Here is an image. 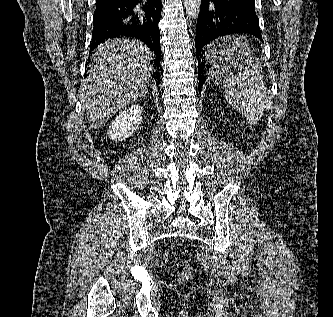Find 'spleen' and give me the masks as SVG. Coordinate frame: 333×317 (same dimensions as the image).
<instances>
[{
  "instance_id": "obj_1",
  "label": "spleen",
  "mask_w": 333,
  "mask_h": 317,
  "mask_svg": "<svg viewBox=\"0 0 333 317\" xmlns=\"http://www.w3.org/2000/svg\"><path fill=\"white\" fill-rule=\"evenodd\" d=\"M226 51L227 74L223 82L228 103L244 115L250 125L263 116L267 102L261 67L248 53L247 41L241 36H229L221 40Z\"/></svg>"
}]
</instances>
